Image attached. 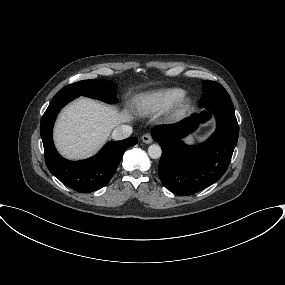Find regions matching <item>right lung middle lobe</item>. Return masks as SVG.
<instances>
[{
  "label": "right lung middle lobe",
  "instance_id": "obj_1",
  "mask_svg": "<svg viewBox=\"0 0 285 285\" xmlns=\"http://www.w3.org/2000/svg\"><path fill=\"white\" fill-rule=\"evenodd\" d=\"M59 92L70 93L79 97L80 95L98 99L106 103H116V84L107 80H84L63 87Z\"/></svg>",
  "mask_w": 285,
  "mask_h": 285
}]
</instances>
